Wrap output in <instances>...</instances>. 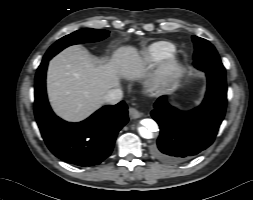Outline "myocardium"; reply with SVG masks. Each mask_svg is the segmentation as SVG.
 <instances>
[{
    "instance_id": "1",
    "label": "myocardium",
    "mask_w": 253,
    "mask_h": 200,
    "mask_svg": "<svg viewBox=\"0 0 253 200\" xmlns=\"http://www.w3.org/2000/svg\"><path fill=\"white\" fill-rule=\"evenodd\" d=\"M180 69V61L172 54L162 60L153 78L154 86H160L173 77Z\"/></svg>"
}]
</instances>
